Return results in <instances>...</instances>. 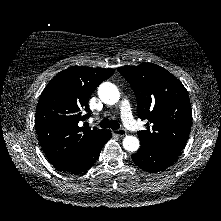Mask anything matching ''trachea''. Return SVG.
I'll use <instances>...</instances> for the list:
<instances>
[{
  "label": "trachea",
  "instance_id": "1",
  "mask_svg": "<svg viewBox=\"0 0 221 221\" xmlns=\"http://www.w3.org/2000/svg\"><path fill=\"white\" fill-rule=\"evenodd\" d=\"M100 127L102 128H111L112 130H118L120 128V125L117 121H110L109 119H103L99 123Z\"/></svg>",
  "mask_w": 221,
  "mask_h": 221
}]
</instances>
